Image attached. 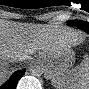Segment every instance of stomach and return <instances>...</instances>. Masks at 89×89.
<instances>
[{"mask_svg":"<svg viewBox=\"0 0 89 89\" xmlns=\"http://www.w3.org/2000/svg\"><path fill=\"white\" fill-rule=\"evenodd\" d=\"M57 47L49 51L39 52L37 57L47 66L49 75L56 74L62 68L70 67L75 60V53L68 46H63L61 40H57Z\"/></svg>","mask_w":89,"mask_h":89,"instance_id":"0dacf381","label":"stomach"}]
</instances>
